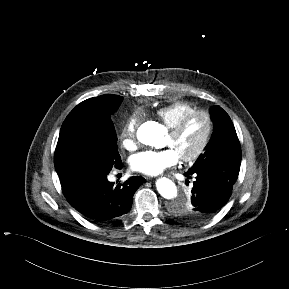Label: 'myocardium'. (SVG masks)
I'll return each mask as SVG.
<instances>
[{
    "label": "myocardium",
    "mask_w": 289,
    "mask_h": 289,
    "mask_svg": "<svg viewBox=\"0 0 289 289\" xmlns=\"http://www.w3.org/2000/svg\"><path fill=\"white\" fill-rule=\"evenodd\" d=\"M196 116H202L205 119L206 132L200 145L193 153L180 157V159L184 162H194L198 158H200L202 154L206 151L209 145V142L211 140L213 128H214L212 117L207 111L194 110L182 116L171 128H169V134L171 136L173 137L178 136L183 130V128L186 126L188 121Z\"/></svg>",
    "instance_id": "1"
}]
</instances>
